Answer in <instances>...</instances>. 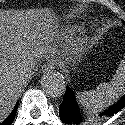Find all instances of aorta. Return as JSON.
<instances>
[{
  "mask_svg": "<svg viewBox=\"0 0 125 125\" xmlns=\"http://www.w3.org/2000/svg\"><path fill=\"white\" fill-rule=\"evenodd\" d=\"M41 85L45 93L50 97H60L64 95L66 85L59 74L47 73L41 79Z\"/></svg>",
  "mask_w": 125,
  "mask_h": 125,
  "instance_id": "obj_1",
  "label": "aorta"
}]
</instances>
